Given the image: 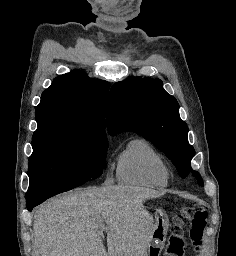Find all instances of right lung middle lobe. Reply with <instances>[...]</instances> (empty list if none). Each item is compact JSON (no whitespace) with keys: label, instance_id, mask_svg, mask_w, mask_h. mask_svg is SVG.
I'll return each instance as SVG.
<instances>
[{"label":"right lung middle lobe","instance_id":"dd1d6c3e","mask_svg":"<svg viewBox=\"0 0 236 256\" xmlns=\"http://www.w3.org/2000/svg\"><path fill=\"white\" fill-rule=\"evenodd\" d=\"M29 158L27 199L85 183L102 174L108 141L104 134L70 126L38 127Z\"/></svg>","mask_w":236,"mask_h":256}]
</instances>
